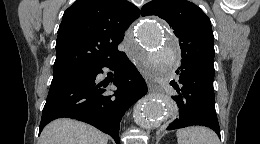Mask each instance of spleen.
Returning a JSON list of instances; mask_svg holds the SVG:
<instances>
[{"mask_svg":"<svg viewBox=\"0 0 260 144\" xmlns=\"http://www.w3.org/2000/svg\"><path fill=\"white\" fill-rule=\"evenodd\" d=\"M178 144H220L218 136L206 127H187L176 132Z\"/></svg>","mask_w":260,"mask_h":144,"instance_id":"obj_1","label":"spleen"}]
</instances>
